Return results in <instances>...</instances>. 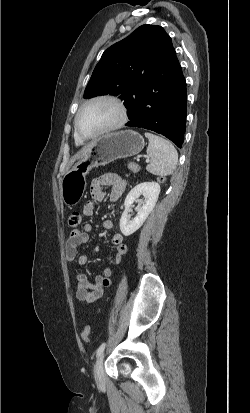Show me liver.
Listing matches in <instances>:
<instances>
[{
  "instance_id": "6515ba94",
  "label": "liver",
  "mask_w": 250,
  "mask_h": 413,
  "mask_svg": "<svg viewBox=\"0 0 250 413\" xmlns=\"http://www.w3.org/2000/svg\"><path fill=\"white\" fill-rule=\"evenodd\" d=\"M93 143L88 144L86 147H84L82 150H80L71 160V162H75V160L80 159L81 157H83L87 152L90 151V149L92 148Z\"/></svg>"
}]
</instances>
